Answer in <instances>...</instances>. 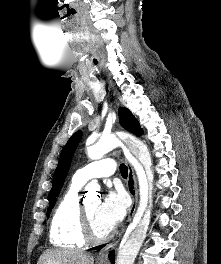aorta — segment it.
I'll return each mask as SVG.
<instances>
[{"label": "aorta", "instance_id": "aorta-1", "mask_svg": "<svg viewBox=\"0 0 221 264\" xmlns=\"http://www.w3.org/2000/svg\"><path fill=\"white\" fill-rule=\"evenodd\" d=\"M130 152L138 159L145 170L146 179L141 183V191L149 201V207L145 210L142 218L134 221L127 229L118 251L116 264H134L136 256L143 244L149 227L152 206V190L154 174L152 171V159L147 146L140 140L130 138L128 141ZM115 147L113 138L99 139L94 144L88 146L87 155L91 159H101L106 153ZM98 184L92 181L88 184L89 191L96 190Z\"/></svg>", "mask_w": 221, "mask_h": 264}]
</instances>
